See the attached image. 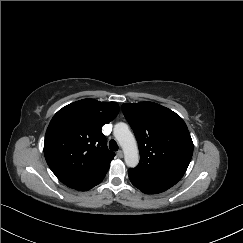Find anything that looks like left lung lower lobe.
<instances>
[{
	"label": "left lung lower lobe",
	"instance_id": "0a47b994",
	"mask_svg": "<svg viewBox=\"0 0 243 243\" xmlns=\"http://www.w3.org/2000/svg\"><path fill=\"white\" fill-rule=\"evenodd\" d=\"M131 183L146 194H155L166 191L175 185L184 175L182 172L172 171L151 176H135L130 173Z\"/></svg>",
	"mask_w": 243,
	"mask_h": 243
}]
</instances>
